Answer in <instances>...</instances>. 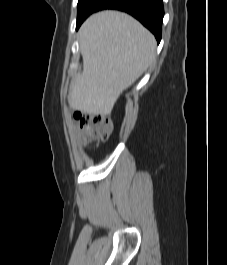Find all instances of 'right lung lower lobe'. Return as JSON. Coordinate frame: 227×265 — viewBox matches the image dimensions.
Wrapping results in <instances>:
<instances>
[{
  "label": "right lung lower lobe",
  "instance_id": "1",
  "mask_svg": "<svg viewBox=\"0 0 227 265\" xmlns=\"http://www.w3.org/2000/svg\"><path fill=\"white\" fill-rule=\"evenodd\" d=\"M104 9H116L129 13L155 35L158 43L160 42L164 16L162 0H101L94 12ZM82 22L77 24V29Z\"/></svg>",
  "mask_w": 227,
  "mask_h": 265
}]
</instances>
